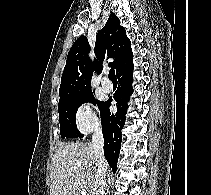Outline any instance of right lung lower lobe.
<instances>
[{"mask_svg": "<svg viewBox=\"0 0 211 195\" xmlns=\"http://www.w3.org/2000/svg\"><path fill=\"white\" fill-rule=\"evenodd\" d=\"M119 88L113 96L116 101L117 113L112 114L109 110L112 98L104 102L101 113L102 132L104 136V155L112 171H117V161L121 147V130L125 124L127 101L132 94L133 65L120 72L118 75Z\"/></svg>", "mask_w": 211, "mask_h": 195, "instance_id": "1", "label": "right lung lower lobe"}]
</instances>
